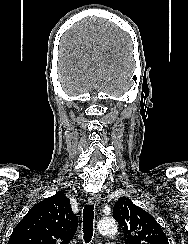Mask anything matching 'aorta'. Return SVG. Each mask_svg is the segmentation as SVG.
Instances as JSON below:
<instances>
[{
  "label": "aorta",
  "instance_id": "1",
  "mask_svg": "<svg viewBox=\"0 0 188 244\" xmlns=\"http://www.w3.org/2000/svg\"><path fill=\"white\" fill-rule=\"evenodd\" d=\"M98 232L104 236L115 235L118 231V226L112 217L101 219L97 225Z\"/></svg>",
  "mask_w": 188,
  "mask_h": 244
}]
</instances>
